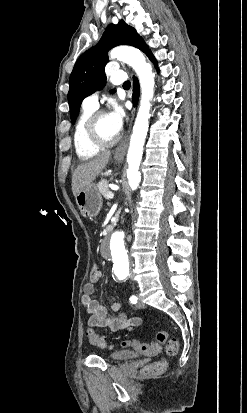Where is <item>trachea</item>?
Masks as SVG:
<instances>
[{
	"instance_id": "obj_1",
	"label": "trachea",
	"mask_w": 247,
	"mask_h": 413,
	"mask_svg": "<svg viewBox=\"0 0 247 413\" xmlns=\"http://www.w3.org/2000/svg\"><path fill=\"white\" fill-rule=\"evenodd\" d=\"M130 85H131L130 81L127 80L126 82L123 83V88H124L125 90H129Z\"/></svg>"
}]
</instances>
